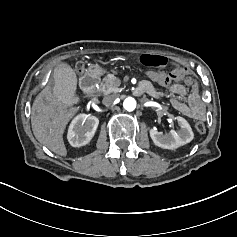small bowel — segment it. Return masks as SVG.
Returning <instances> with one entry per match:
<instances>
[{"mask_svg":"<svg viewBox=\"0 0 237 237\" xmlns=\"http://www.w3.org/2000/svg\"><path fill=\"white\" fill-rule=\"evenodd\" d=\"M181 68L179 66H174L172 72L178 71ZM148 77L157 83L167 75L163 72L149 71ZM183 79L184 85L180 84L179 81ZM167 90L170 94L186 96V101H182L179 98L173 97L171 99V105L174 109L181 112L182 114L188 116L189 118L196 120H204L207 116V109L205 103L202 99L200 89L194 78L190 75L189 77L177 79L167 85ZM186 87H190L188 92ZM138 93H148L155 97H162L164 93L158 90L151 82L143 81L137 87Z\"/></svg>","mask_w":237,"mask_h":237,"instance_id":"1","label":"small bowel"}]
</instances>
